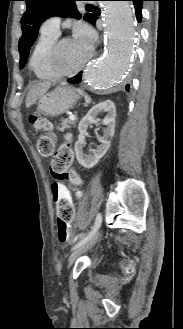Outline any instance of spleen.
Instances as JSON below:
<instances>
[{"label": "spleen", "instance_id": "spleen-1", "mask_svg": "<svg viewBox=\"0 0 183 329\" xmlns=\"http://www.w3.org/2000/svg\"><path fill=\"white\" fill-rule=\"evenodd\" d=\"M77 92L84 96L87 104L91 102V98L81 89H77Z\"/></svg>", "mask_w": 183, "mask_h": 329}]
</instances>
